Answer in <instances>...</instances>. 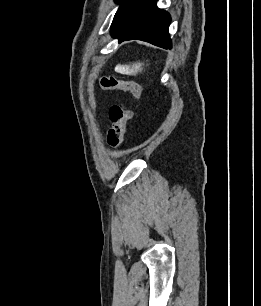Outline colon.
<instances>
[{
    "mask_svg": "<svg viewBox=\"0 0 261 306\" xmlns=\"http://www.w3.org/2000/svg\"><path fill=\"white\" fill-rule=\"evenodd\" d=\"M99 84L104 90H120L130 92L137 99L142 98L143 88L133 80L122 79L116 76H102ZM112 126L107 134L108 144L112 147H119L123 143L126 124L134 117L132 110H126L119 106H112L109 111Z\"/></svg>",
    "mask_w": 261,
    "mask_h": 306,
    "instance_id": "5ec220e1",
    "label": "colon"
}]
</instances>
